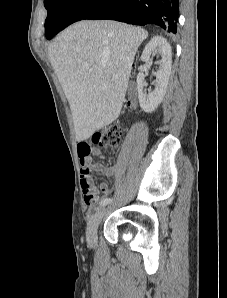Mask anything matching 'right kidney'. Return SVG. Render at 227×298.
<instances>
[{
	"label": "right kidney",
	"mask_w": 227,
	"mask_h": 298,
	"mask_svg": "<svg viewBox=\"0 0 227 298\" xmlns=\"http://www.w3.org/2000/svg\"><path fill=\"white\" fill-rule=\"evenodd\" d=\"M152 54H155L157 57L161 58L158 61L159 69L155 73V90L146 94V92L143 90L144 74L140 72L137 76L138 99L141 108L146 113L153 112L162 102L167 90L172 66V50L170 44L165 38L160 36L153 37L145 46L141 55V60L143 62H148Z\"/></svg>",
	"instance_id": "ca27d5eb"
}]
</instances>
